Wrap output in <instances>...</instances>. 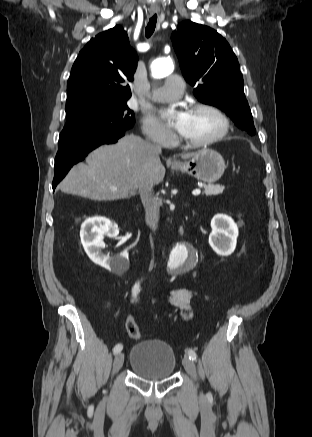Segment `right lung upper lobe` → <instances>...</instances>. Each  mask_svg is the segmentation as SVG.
I'll return each mask as SVG.
<instances>
[{
    "instance_id": "cb5924a9",
    "label": "right lung upper lobe",
    "mask_w": 312,
    "mask_h": 437,
    "mask_svg": "<svg viewBox=\"0 0 312 437\" xmlns=\"http://www.w3.org/2000/svg\"><path fill=\"white\" fill-rule=\"evenodd\" d=\"M138 56L127 33L115 26L92 38L76 58L67 83L66 107L82 102H121L131 97Z\"/></svg>"
}]
</instances>
